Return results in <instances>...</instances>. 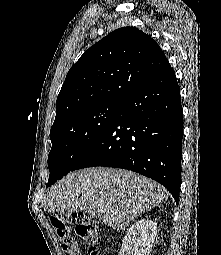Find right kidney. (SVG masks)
Listing matches in <instances>:
<instances>
[{
    "label": "right kidney",
    "mask_w": 221,
    "mask_h": 255,
    "mask_svg": "<svg viewBox=\"0 0 221 255\" xmlns=\"http://www.w3.org/2000/svg\"><path fill=\"white\" fill-rule=\"evenodd\" d=\"M157 236V223L141 219L126 231L119 255H149Z\"/></svg>",
    "instance_id": "ca27d5eb"
}]
</instances>
